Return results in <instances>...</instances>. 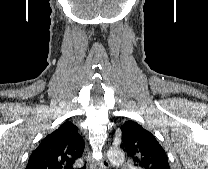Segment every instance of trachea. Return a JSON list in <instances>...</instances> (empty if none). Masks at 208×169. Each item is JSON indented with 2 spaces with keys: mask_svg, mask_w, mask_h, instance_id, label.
<instances>
[{
  "mask_svg": "<svg viewBox=\"0 0 208 169\" xmlns=\"http://www.w3.org/2000/svg\"><path fill=\"white\" fill-rule=\"evenodd\" d=\"M86 168V166H83L82 168H78V169H85Z\"/></svg>",
  "mask_w": 208,
  "mask_h": 169,
  "instance_id": "trachea-1",
  "label": "trachea"
}]
</instances>
